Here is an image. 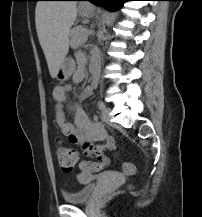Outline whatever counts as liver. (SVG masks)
<instances>
[{
	"instance_id": "liver-1",
	"label": "liver",
	"mask_w": 202,
	"mask_h": 217,
	"mask_svg": "<svg viewBox=\"0 0 202 217\" xmlns=\"http://www.w3.org/2000/svg\"><path fill=\"white\" fill-rule=\"evenodd\" d=\"M76 17L74 1H40L36 5L37 35L52 78L68 54L69 33Z\"/></svg>"
}]
</instances>
